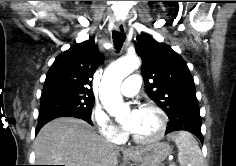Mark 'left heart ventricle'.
Returning a JSON list of instances; mask_svg holds the SVG:
<instances>
[{
    "instance_id": "b2bd125f",
    "label": "left heart ventricle",
    "mask_w": 236,
    "mask_h": 166,
    "mask_svg": "<svg viewBox=\"0 0 236 166\" xmlns=\"http://www.w3.org/2000/svg\"><path fill=\"white\" fill-rule=\"evenodd\" d=\"M129 115H127V118ZM158 128L159 118L156 112L153 110H140L138 126L133 134L140 138H147L154 135Z\"/></svg>"
}]
</instances>
